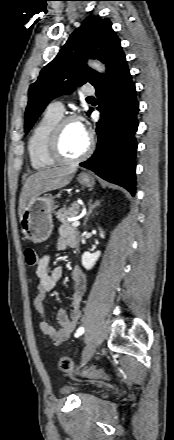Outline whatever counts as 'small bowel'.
I'll list each match as a JSON object with an SVG mask.
<instances>
[{"mask_svg": "<svg viewBox=\"0 0 174 440\" xmlns=\"http://www.w3.org/2000/svg\"><path fill=\"white\" fill-rule=\"evenodd\" d=\"M78 243L77 233L69 226H61L58 230L56 250L65 251L75 247ZM63 270L61 266L49 267V256L40 258L36 276L38 278L37 294L34 299V307L40 316V330L49 337L54 344L60 345L66 342L73 333L76 325L82 316V300L86 291L87 280L84 272L79 267L73 268L71 272L73 286L71 292V310L68 313L61 308L57 312L58 326L49 323L44 308L46 295L50 293L61 279Z\"/></svg>", "mask_w": 174, "mask_h": 440, "instance_id": "1", "label": "small bowel"}]
</instances>
